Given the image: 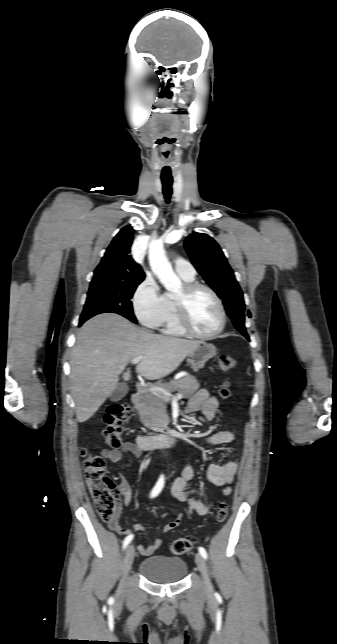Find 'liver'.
<instances>
[{
  "mask_svg": "<svg viewBox=\"0 0 337 644\" xmlns=\"http://www.w3.org/2000/svg\"><path fill=\"white\" fill-rule=\"evenodd\" d=\"M201 343L157 335L120 315H97L79 329L71 352L70 389L77 421L91 418L117 388L119 375L141 356L136 372L157 380L175 371ZM130 379L128 372L123 374Z\"/></svg>",
  "mask_w": 337,
  "mask_h": 644,
  "instance_id": "liver-1",
  "label": "liver"
}]
</instances>
